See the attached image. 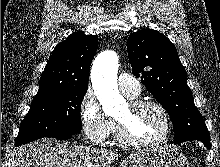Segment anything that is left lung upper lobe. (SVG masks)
Wrapping results in <instances>:
<instances>
[{"mask_svg":"<svg viewBox=\"0 0 220 167\" xmlns=\"http://www.w3.org/2000/svg\"><path fill=\"white\" fill-rule=\"evenodd\" d=\"M127 51L132 72L169 114L174 142L210 139L173 43L163 34L146 28L129 35Z\"/></svg>","mask_w":220,"mask_h":167,"instance_id":"1","label":"left lung upper lobe"}]
</instances>
